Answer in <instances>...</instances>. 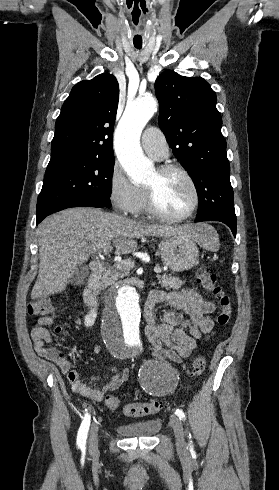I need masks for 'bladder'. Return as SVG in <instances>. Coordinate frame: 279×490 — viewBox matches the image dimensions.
Returning <instances> with one entry per match:
<instances>
[{
    "label": "bladder",
    "instance_id": "31cf9c89",
    "mask_svg": "<svg viewBox=\"0 0 279 490\" xmlns=\"http://www.w3.org/2000/svg\"><path fill=\"white\" fill-rule=\"evenodd\" d=\"M162 422L160 418L153 420L137 421V422H120L115 426L122 437L138 438V437H153L161 429Z\"/></svg>",
    "mask_w": 279,
    "mask_h": 490
}]
</instances>
